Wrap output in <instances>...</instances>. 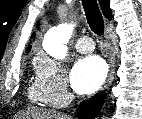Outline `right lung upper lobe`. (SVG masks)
<instances>
[{
	"label": "right lung upper lobe",
	"instance_id": "cb5924a9",
	"mask_svg": "<svg viewBox=\"0 0 142 119\" xmlns=\"http://www.w3.org/2000/svg\"><path fill=\"white\" fill-rule=\"evenodd\" d=\"M101 9L103 11V14L106 18L111 19L112 18V11L109 6V0H99ZM34 37V34L32 35ZM31 46H28V52L30 51Z\"/></svg>",
	"mask_w": 142,
	"mask_h": 119
}]
</instances>
